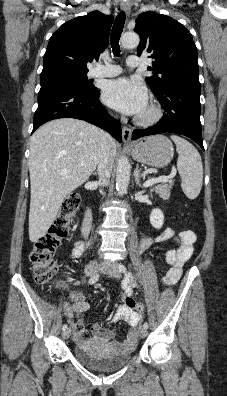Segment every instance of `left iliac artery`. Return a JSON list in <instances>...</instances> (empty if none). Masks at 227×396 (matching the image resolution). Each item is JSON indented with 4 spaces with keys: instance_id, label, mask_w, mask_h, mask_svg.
Masks as SVG:
<instances>
[{
    "instance_id": "obj_1",
    "label": "left iliac artery",
    "mask_w": 227,
    "mask_h": 396,
    "mask_svg": "<svg viewBox=\"0 0 227 396\" xmlns=\"http://www.w3.org/2000/svg\"><path fill=\"white\" fill-rule=\"evenodd\" d=\"M119 270H120L121 272H123V273H126V272H127L126 267H125L124 265H122V264L119 265ZM143 327H144L145 329H147V328H148V323L145 322V323L143 324Z\"/></svg>"
}]
</instances>
